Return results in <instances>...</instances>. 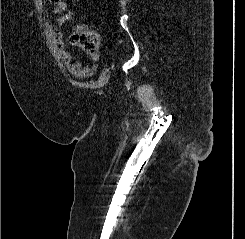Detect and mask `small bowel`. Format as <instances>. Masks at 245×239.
<instances>
[{
  "label": "small bowel",
  "instance_id": "obj_1",
  "mask_svg": "<svg viewBox=\"0 0 245 239\" xmlns=\"http://www.w3.org/2000/svg\"><path fill=\"white\" fill-rule=\"evenodd\" d=\"M54 4V13L59 15L56 19L54 34L56 38V45L60 51L61 59L72 75L77 78H89L97 71L99 63L101 61V54L99 51L90 54L89 60L93 62V65H83L82 63L73 60L71 54L65 50L63 34L60 30V28L65 23L73 18V12L68 9L67 4L62 0H58V2Z\"/></svg>",
  "mask_w": 245,
  "mask_h": 239
}]
</instances>
